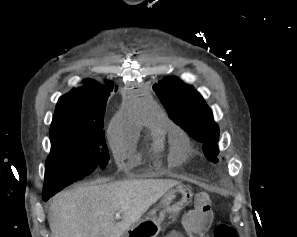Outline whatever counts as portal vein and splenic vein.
I'll use <instances>...</instances> for the list:
<instances>
[{"label":"portal vein and splenic vein","mask_w":297,"mask_h":237,"mask_svg":"<svg viewBox=\"0 0 297 237\" xmlns=\"http://www.w3.org/2000/svg\"><path fill=\"white\" fill-rule=\"evenodd\" d=\"M119 216H120V212H117V213H116V217H119Z\"/></svg>","instance_id":"obj_1"}]
</instances>
